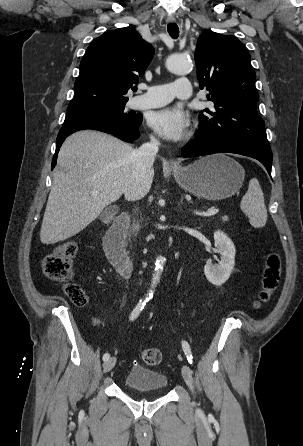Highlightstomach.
<instances>
[{
	"mask_svg": "<svg viewBox=\"0 0 303 446\" xmlns=\"http://www.w3.org/2000/svg\"><path fill=\"white\" fill-rule=\"evenodd\" d=\"M172 172L184 190L207 200L233 196L245 178L244 168L224 154L202 157L185 167H172Z\"/></svg>",
	"mask_w": 303,
	"mask_h": 446,
	"instance_id": "1",
	"label": "stomach"
}]
</instances>
